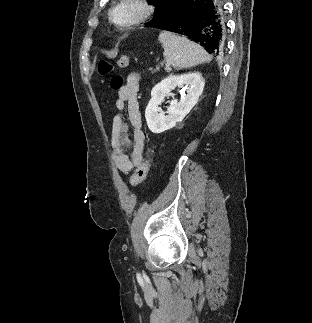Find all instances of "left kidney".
<instances>
[{
  "mask_svg": "<svg viewBox=\"0 0 312 323\" xmlns=\"http://www.w3.org/2000/svg\"><path fill=\"white\" fill-rule=\"evenodd\" d=\"M204 78L199 72H188L183 76H168L154 86L151 92V100L146 108L145 118L147 126L153 134H162L165 130H171L177 122H182L190 110L194 108L204 88ZM184 88L186 94H182L180 102L172 100L168 112H159L158 106L164 102L165 96H173L172 90ZM169 114V116H165Z\"/></svg>",
  "mask_w": 312,
  "mask_h": 323,
  "instance_id": "5707ae66",
  "label": "left kidney"
}]
</instances>
